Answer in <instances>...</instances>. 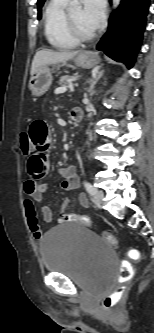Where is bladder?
Here are the masks:
<instances>
[{
  "mask_svg": "<svg viewBox=\"0 0 154 333\" xmlns=\"http://www.w3.org/2000/svg\"><path fill=\"white\" fill-rule=\"evenodd\" d=\"M44 269L58 272L84 287L109 288L116 254L113 248L85 225L64 223L48 230L39 242Z\"/></svg>",
  "mask_w": 154,
  "mask_h": 333,
  "instance_id": "bladder-1",
  "label": "bladder"
}]
</instances>
